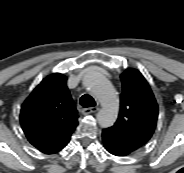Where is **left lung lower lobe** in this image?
Segmentation results:
<instances>
[{"mask_svg":"<svg viewBox=\"0 0 184 173\" xmlns=\"http://www.w3.org/2000/svg\"><path fill=\"white\" fill-rule=\"evenodd\" d=\"M102 142L105 149L115 156H127L133 152L124 142L107 129H104L102 132Z\"/></svg>","mask_w":184,"mask_h":173,"instance_id":"1","label":"left lung lower lobe"}]
</instances>
